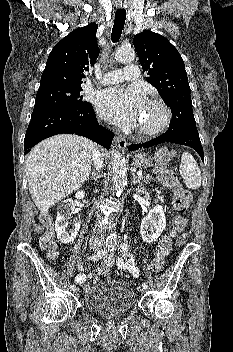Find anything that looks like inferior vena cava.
<instances>
[{
  "mask_svg": "<svg viewBox=\"0 0 233 352\" xmlns=\"http://www.w3.org/2000/svg\"><path fill=\"white\" fill-rule=\"evenodd\" d=\"M93 163L96 171L100 172L103 167V158L98 147H96L94 151ZM103 238H104L103 232L101 230H96L90 238V244L94 246H100L103 241Z\"/></svg>",
  "mask_w": 233,
  "mask_h": 352,
  "instance_id": "obj_1",
  "label": "inferior vena cava"
}]
</instances>
